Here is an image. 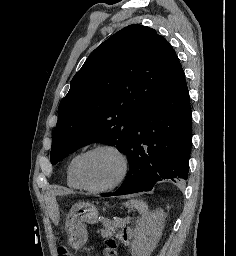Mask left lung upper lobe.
I'll list each match as a JSON object with an SVG mask.
<instances>
[{
  "label": "left lung upper lobe",
  "instance_id": "left-lung-upper-lobe-1",
  "mask_svg": "<svg viewBox=\"0 0 236 256\" xmlns=\"http://www.w3.org/2000/svg\"><path fill=\"white\" fill-rule=\"evenodd\" d=\"M183 76L175 51L154 29L118 31L89 55L60 102L51 163L93 142L125 154L135 120Z\"/></svg>",
  "mask_w": 236,
  "mask_h": 256
}]
</instances>
